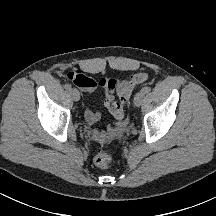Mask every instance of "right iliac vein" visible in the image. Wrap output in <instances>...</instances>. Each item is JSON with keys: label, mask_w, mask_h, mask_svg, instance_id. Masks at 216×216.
<instances>
[{"label": "right iliac vein", "mask_w": 216, "mask_h": 216, "mask_svg": "<svg viewBox=\"0 0 216 216\" xmlns=\"http://www.w3.org/2000/svg\"><path fill=\"white\" fill-rule=\"evenodd\" d=\"M70 95H71V97H72V99L74 101H79V99H80V93H79V91L77 89L72 88L70 90Z\"/></svg>", "instance_id": "right-iliac-vein-1"}]
</instances>
